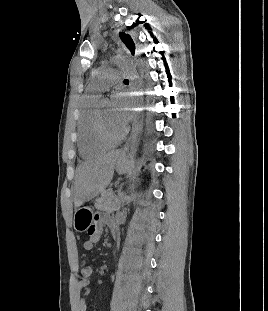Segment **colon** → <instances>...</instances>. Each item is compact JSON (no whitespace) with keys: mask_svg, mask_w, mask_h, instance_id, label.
Instances as JSON below:
<instances>
[{"mask_svg":"<svg viewBox=\"0 0 268 311\" xmlns=\"http://www.w3.org/2000/svg\"><path fill=\"white\" fill-rule=\"evenodd\" d=\"M80 273L82 278H89L92 274V268L86 263H82Z\"/></svg>","mask_w":268,"mask_h":311,"instance_id":"1","label":"colon"}]
</instances>
